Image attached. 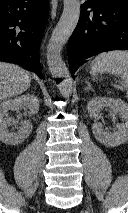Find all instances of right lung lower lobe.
<instances>
[{
	"label": "right lung lower lobe",
	"instance_id": "right-lung-lower-lobe-1",
	"mask_svg": "<svg viewBox=\"0 0 128 213\" xmlns=\"http://www.w3.org/2000/svg\"><path fill=\"white\" fill-rule=\"evenodd\" d=\"M48 0H0V59L20 63L41 77L39 46Z\"/></svg>",
	"mask_w": 128,
	"mask_h": 213
}]
</instances>
